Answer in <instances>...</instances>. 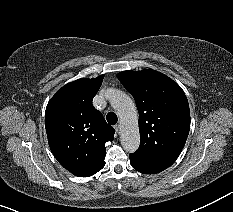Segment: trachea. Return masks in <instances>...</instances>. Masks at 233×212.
<instances>
[{
    "label": "trachea",
    "mask_w": 233,
    "mask_h": 212,
    "mask_svg": "<svg viewBox=\"0 0 233 212\" xmlns=\"http://www.w3.org/2000/svg\"><path fill=\"white\" fill-rule=\"evenodd\" d=\"M106 119L110 125L116 124L118 120L117 115L113 112H109L106 116Z\"/></svg>",
    "instance_id": "trachea-1"
}]
</instances>
